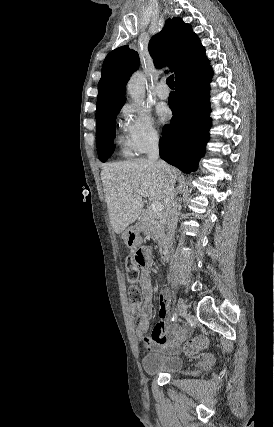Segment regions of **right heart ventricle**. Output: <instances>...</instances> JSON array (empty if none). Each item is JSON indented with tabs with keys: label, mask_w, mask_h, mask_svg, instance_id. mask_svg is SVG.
<instances>
[{
	"label": "right heart ventricle",
	"mask_w": 274,
	"mask_h": 427,
	"mask_svg": "<svg viewBox=\"0 0 274 427\" xmlns=\"http://www.w3.org/2000/svg\"><path fill=\"white\" fill-rule=\"evenodd\" d=\"M116 144L120 155H122L123 157L130 158L135 155V151L132 149L125 137L120 135L117 136Z\"/></svg>",
	"instance_id": "e07e8e85"
}]
</instances>
